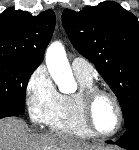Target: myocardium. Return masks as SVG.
<instances>
[{
  "label": "myocardium",
  "mask_w": 139,
  "mask_h": 150,
  "mask_svg": "<svg viewBox=\"0 0 139 150\" xmlns=\"http://www.w3.org/2000/svg\"><path fill=\"white\" fill-rule=\"evenodd\" d=\"M99 96H107L109 97L112 102L114 103V106L116 108L117 112V125L115 129L109 133H102L100 132L94 125L93 118H92V108L95 100ZM80 111H81V117L82 120L87 127V129L94 135L100 138H110L115 136L123 125V110L120 104L119 99L117 96L106 89H102L96 86L86 88L84 89L80 94Z\"/></svg>",
  "instance_id": "1"
}]
</instances>
